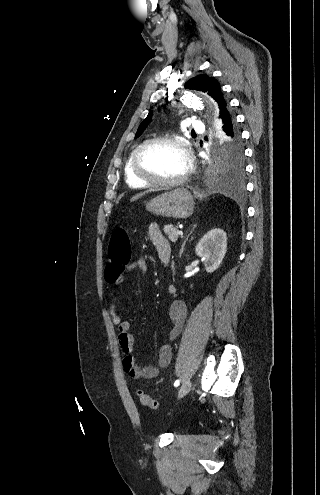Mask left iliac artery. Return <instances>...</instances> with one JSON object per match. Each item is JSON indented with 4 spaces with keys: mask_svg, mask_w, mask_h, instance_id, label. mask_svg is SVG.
<instances>
[{
    "mask_svg": "<svg viewBox=\"0 0 320 495\" xmlns=\"http://www.w3.org/2000/svg\"><path fill=\"white\" fill-rule=\"evenodd\" d=\"M179 383H180V381H179V380H176V381L174 382V386H175V387H177V386L179 385Z\"/></svg>",
    "mask_w": 320,
    "mask_h": 495,
    "instance_id": "44dca946",
    "label": "left iliac artery"
}]
</instances>
